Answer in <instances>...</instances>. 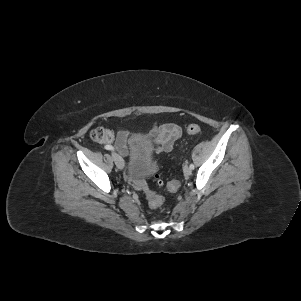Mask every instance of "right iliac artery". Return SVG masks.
Here are the masks:
<instances>
[{"mask_svg":"<svg viewBox=\"0 0 301 301\" xmlns=\"http://www.w3.org/2000/svg\"><path fill=\"white\" fill-rule=\"evenodd\" d=\"M104 148H105L106 150H114V148H113L112 146H110V145H106Z\"/></svg>","mask_w":301,"mask_h":301,"instance_id":"1","label":"right iliac artery"}]
</instances>
